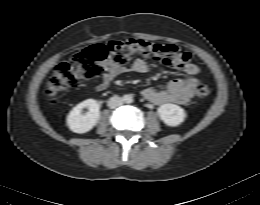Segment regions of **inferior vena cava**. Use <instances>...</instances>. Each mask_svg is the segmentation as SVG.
<instances>
[{
  "instance_id": "inferior-vena-cava-1",
  "label": "inferior vena cava",
  "mask_w": 260,
  "mask_h": 205,
  "mask_svg": "<svg viewBox=\"0 0 260 205\" xmlns=\"http://www.w3.org/2000/svg\"><path fill=\"white\" fill-rule=\"evenodd\" d=\"M123 104V99L119 96H113L109 99L108 101V106L111 108V109H115L119 106H121Z\"/></svg>"
}]
</instances>
